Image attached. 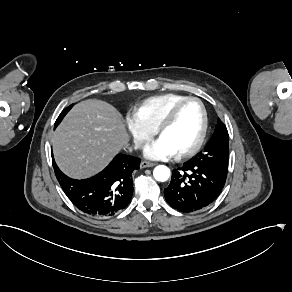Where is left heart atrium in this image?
Here are the masks:
<instances>
[{
  "instance_id": "obj_1",
  "label": "left heart atrium",
  "mask_w": 292,
  "mask_h": 292,
  "mask_svg": "<svg viewBox=\"0 0 292 292\" xmlns=\"http://www.w3.org/2000/svg\"><path fill=\"white\" fill-rule=\"evenodd\" d=\"M177 152V149L162 137L151 141L144 149L145 155L151 159H168Z\"/></svg>"
}]
</instances>
